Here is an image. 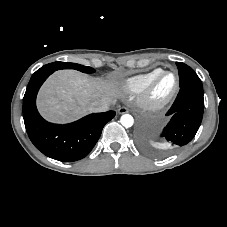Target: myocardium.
I'll list each match as a JSON object with an SVG mask.
<instances>
[{"label": "myocardium", "instance_id": "f54148a6", "mask_svg": "<svg viewBox=\"0 0 227 227\" xmlns=\"http://www.w3.org/2000/svg\"><path fill=\"white\" fill-rule=\"evenodd\" d=\"M171 74L174 78V83L171 89L163 96L156 95V89L161 79ZM179 88V77L176 72L170 70H161L144 88L142 91L140 101L149 109H160L166 106L176 95Z\"/></svg>", "mask_w": 227, "mask_h": 227}]
</instances>
